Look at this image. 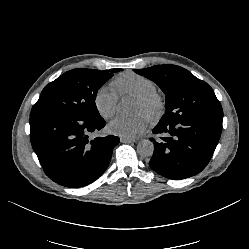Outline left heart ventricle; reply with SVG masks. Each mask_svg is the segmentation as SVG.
Segmentation results:
<instances>
[{"mask_svg": "<svg viewBox=\"0 0 249 249\" xmlns=\"http://www.w3.org/2000/svg\"><path fill=\"white\" fill-rule=\"evenodd\" d=\"M135 114H142L145 116V109L143 105L139 103L138 101H136V104H135Z\"/></svg>", "mask_w": 249, "mask_h": 249, "instance_id": "obj_1", "label": "left heart ventricle"}]
</instances>
